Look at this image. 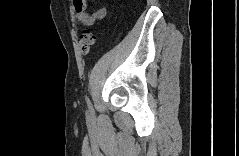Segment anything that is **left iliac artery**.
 <instances>
[{
    "label": "left iliac artery",
    "mask_w": 239,
    "mask_h": 156,
    "mask_svg": "<svg viewBox=\"0 0 239 156\" xmlns=\"http://www.w3.org/2000/svg\"><path fill=\"white\" fill-rule=\"evenodd\" d=\"M85 99H86L87 106H88L89 108H91V102H90L89 98L86 96Z\"/></svg>",
    "instance_id": "left-iliac-artery-1"
}]
</instances>
